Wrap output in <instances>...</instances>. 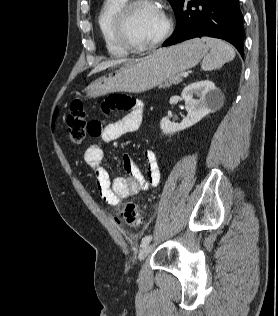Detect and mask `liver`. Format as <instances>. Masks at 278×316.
Segmentation results:
<instances>
[{
  "mask_svg": "<svg viewBox=\"0 0 278 316\" xmlns=\"http://www.w3.org/2000/svg\"><path fill=\"white\" fill-rule=\"evenodd\" d=\"M130 61H133L131 59H118V60H112V61H105V62H102L100 64H98L91 72L89 75H92V74H95L97 72H100V71H103L109 67H113L115 65H118V64H121V63H124V62H130Z\"/></svg>",
  "mask_w": 278,
  "mask_h": 316,
  "instance_id": "liver-1",
  "label": "liver"
}]
</instances>
